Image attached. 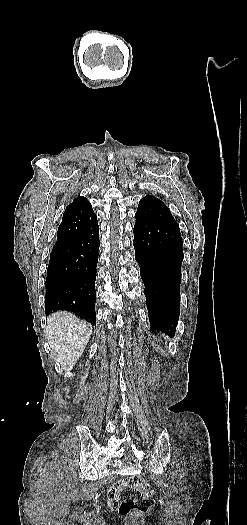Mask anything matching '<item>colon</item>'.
I'll list each match as a JSON object with an SVG mask.
<instances>
[{"label": "colon", "instance_id": "obj_1", "mask_svg": "<svg viewBox=\"0 0 247 525\" xmlns=\"http://www.w3.org/2000/svg\"><path fill=\"white\" fill-rule=\"evenodd\" d=\"M119 490L120 510L123 515H131L132 511L147 512L153 506L150 496L153 494L151 485L138 477L126 481L125 489Z\"/></svg>", "mask_w": 247, "mask_h": 525}]
</instances>
